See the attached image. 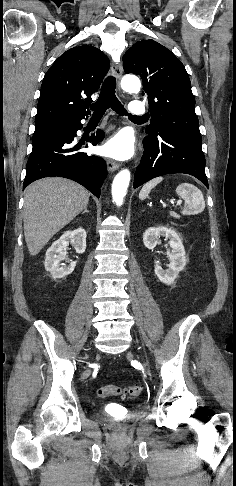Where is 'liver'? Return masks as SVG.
Wrapping results in <instances>:
<instances>
[{"instance_id":"6515ba94","label":"liver","mask_w":236,"mask_h":486,"mask_svg":"<svg viewBox=\"0 0 236 486\" xmlns=\"http://www.w3.org/2000/svg\"><path fill=\"white\" fill-rule=\"evenodd\" d=\"M81 185L60 177L35 181L25 190L24 236L30 255H37L53 235L88 205Z\"/></svg>"}]
</instances>
